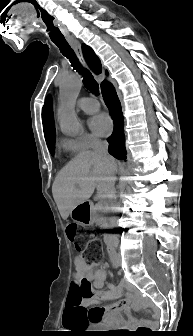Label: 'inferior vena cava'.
Instances as JSON below:
<instances>
[{"label": "inferior vena cava", "instance_id": "inferior-vena-cava-1", "mask_svg": "<svg viewBox=\"0 0 193 336\" xmlns=\"http://www.w3.org/2000/svg\"><path fill=\"white\" fill-rule=\"evenodd\" d=\"M93 150L95 153L102 156V161L108 165V169L113 170L112 174L108 178V186L110 188L108 197L112 200V204L117 206L118 203L115 190V180L116 176L118 175L117 169L119 164L117 162L112 163L111 156L108 153V143L106 141L103 142L99 139H95L93 142Z\"/></svg>", "mask_w": 193, "mask_h": 336}]
</instances>
